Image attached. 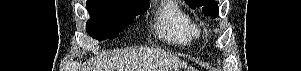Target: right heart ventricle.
<instances>
[{
    "mask_svg": "<svg viewBox=\"0 0 301 71\" xmlns=\"http://www.w3.org/2000/svg\"><path fill=\"white\" fill-rule=\"evenodd\" d=\"M154 29L160 39L176 46H189L199 36V29L191 16L174 2L161 8Z\"/></svg>",
    "mask_w": 301,
    "mask_h": 71,
    "instance_id": "1",
    "label": "right heart ventricle"
}]
</instances>
